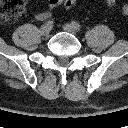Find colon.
<instances>
[{
    "mask_svg": "<svg viewBox=\"0 0 128 128\" xmlns=\"http://www.w3.org/2000/svg\"><path fill=\"white\" fill-rule=\"evenodd\" d=\"M77 0H65V7L72 8ZM107 6H114L116 0H103ZM26 0H0V22H12L21 17L25 12ZM122 11L128 16V2Z\"/></svg>",
    "mask_w": 128,
    "mask_h": 128,
    "instance_id": "1",
    "label": "colon"
}]
</instances>
